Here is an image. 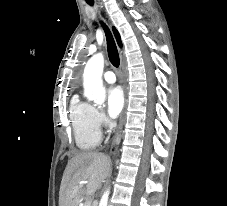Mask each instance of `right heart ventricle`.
<instances>
[{
  "label": "right heart ventricle",
  "mask_w": 227,
  "mask_h": 206,
  "mask_svg": "<svg viewBox=\"0 0 227 206\" xmlns=\"http://www.w3.org/2000/svg\"><path fill=\"white\" fill-rule=\"evenodd\" d=\"M94 107L78 96L70 101L69 115L77 147L86 151L95 148L100 141L99 130L93 122Z\"/></svg>",
  "instance_id": "1"
}]
</instances>
